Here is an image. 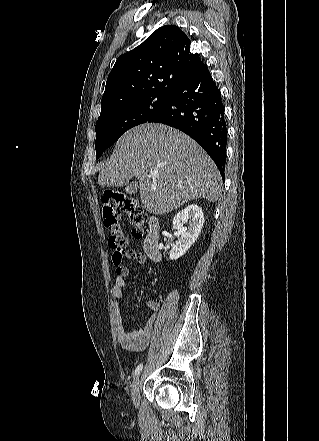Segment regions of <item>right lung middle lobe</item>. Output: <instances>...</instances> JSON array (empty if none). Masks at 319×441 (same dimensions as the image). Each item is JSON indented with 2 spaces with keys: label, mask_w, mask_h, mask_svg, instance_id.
<instances>
[{
  "label": "right lung middle lobe",
  "mask_w": 319,
  "mask_h": 441,
  "mask_svg": "<svg viewBox=\"0 0 319 441\" xmlns=\"http://www.w3.org/2000/svg\"><path fill=\"white\" fill-rule=\"evenodd\" d=\"M168 96H148L112 105L101 111L96 123V159L130 128L148 122L160 113Z\"/></svg>",
  "instance_id": "dd1d6c3e"
}]
</instances>
